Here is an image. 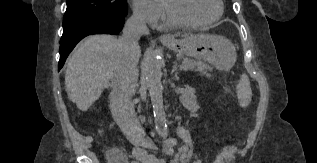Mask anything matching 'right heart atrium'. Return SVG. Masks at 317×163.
<instances>
[{
  "label": "right heart atrium",
  "instance_id": "right-heart-atrium-1",
  "mask_svg": "<svg viewBox=\"0 0 317 163\" xmlns=\"http://www.w3.org/2000/svg\"><path fill=\"white\" fill-rule=\"evenodd\" d=\"M132 13L138 20L156 25L162 18L163 8L156 0H130Z\"/></svg>",
  "mask_w": 317,
  "mask_h": 163
}]
</instances>
